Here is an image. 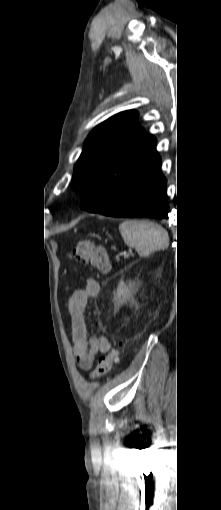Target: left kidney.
I'll return each mask as SVG.
<instances>
[{
  "mask_svg": "<svg viewBox=\"0 0 221 510\" xmlns=\"http://www.w3.org/2000/svg\"><path fill=\"white\" fill-rule=\"evenodd\" d=\"M136 288L135 282H129L128 284L124 281H120L116 293H114V301L117 303H125L132 297Z\"/></svg>",
  "mask_w": 221,
  "mask_h": 510,
  "instance_id": "5707ae66",
  "label": "left kidney"
}]
</instances>
